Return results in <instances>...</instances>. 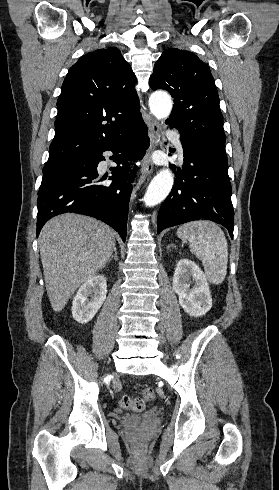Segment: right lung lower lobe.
<instances>
[{
    "mask_svg": "<svg viewBox=\"0 0 279 490\" xmlns=\"http://www.w3.org/2000/svg\"><path fill=\"white\" fill-rule=\"evenodd\" d=\"M148 147L147 127L138 125L82 159V166L42 181L38 192L37 236L50 218L74 212L102 220L125 241L131 183L136 174L132 165L144 156ZM104 151L116 154L113 161L118 166L108 178L111 183H103L107 177L99 178L97 173L98 163L105 160Z\"/></svg>",
    "mask_w": 279,
    "mask_h": 490,
    "instance_id": "right-lung-lower-lobe-1",
    "label": "right lung lower lobe"
}]
</instances>
